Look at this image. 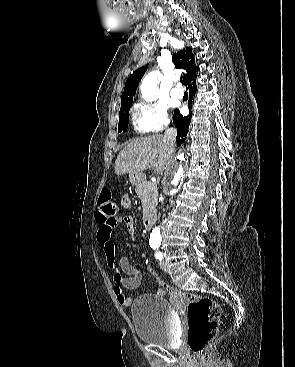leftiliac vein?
<instances>
[{"mask_svg": "<svg viewBox=\"0 0 295 367\" xmlns=\"http://www.w3.org/2000/svg\"><path fill=\"white\" fill-rule=\"evenodd\" d=\"M159 265H160V268L162 270H164V271L167 270V263H166V261L164 259L160 261Z\"/></svg>", "mask_w": 295, "mask_h": 367, "instance_id": "obj_1", "label": "left iliac vein"}]
</instances>
